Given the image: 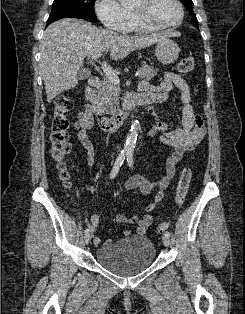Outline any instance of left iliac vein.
<instances>
[{"label": "left iliac vein", "instance_id": "obj_1", "mask_svg": "<svg viewBox=\"0 0 245 314\" xmlns=\"http://www.w3.org/2000/svg\"><path fill=\"white\" fill-rule=\"evenodd\" d=\"M162 241H163V244H164L165 246H169V244H170V238H169L168 236L164 235L163 238H162Z\"/></svg>", "mask_w": 245, "mask_h": 314}]
</instances>
